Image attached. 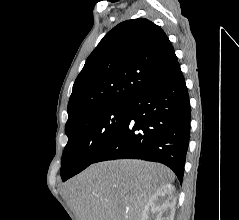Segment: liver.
<instances>
[{"label":"liver","mask_w":239,"mask_h":220,"mask_svg":"<svg viewBox=\"0 0 239 220\" xmlns=\"http://www.w3.org/2000/svg\"><path fill=\"white\" fill-rule=\"evenodd\" d=\"M174 178L158 163L104 161L69 180L65 193L77 220H141L153 193Z\"/></svg>","instance_id":"liver-1"}]
</instances>
